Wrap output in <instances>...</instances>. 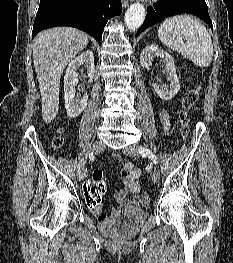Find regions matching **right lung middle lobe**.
<instances>
[{
  "label": "right lung middle lobe",
  "mask_w": 233,
  "mask_h": 263,
  "mask_svg": "<svg viewBox=\"0 0 233 263\" xmlns=\"http://www.w3.org/2000/svg\"><path fill=\"white\" fill-rule=\"evenodd\" d=\"M44 1H46V0H40V3L44 2Z\"/></svg>",
  "instance_id": "dd1d6c3e"
}]
</instances>
